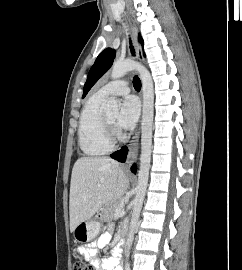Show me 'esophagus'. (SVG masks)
<instances>
[{"label": "esophagus", "mask_w": 242, "mask_h": 270, "mask_svg": "<svg viewBox=\"0 0 242 270\" xmlns=\"http://www.w3.org/2000/svg\"><path fill=\"white\" fill-rule=\"evenodd\" d=\"M127 17H128V21H129V24L131 26L133 35H134V37L136 39V42H137L139 60L143 65H145V58L143 56L141 46H140V44L138 42V29H137L136 22H135L134 18L130 15V13H128ZM140 95L142 97V90L140 92ZM139 135H140V121L136 126L133 138H132V140L130 141V144H129L130 145V152H129L127 160H126L127 168H129L133 164V162H134V160L136 158V148H137V145H138Z\"/></svg>", "instance_id": "1"}]
</instances>
